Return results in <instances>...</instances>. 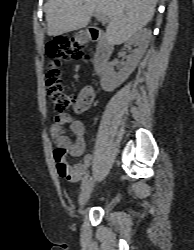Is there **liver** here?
Returning a JSON list of instances; mask_svg holds the SVG:
<instances>
[{"label":"liver","mask_w":194,"mask_h":250,"mask_svg":"<svg viewBox=\"0 0 194 250\" xmlns=\"http://www.w3.org/2000/svg\"><path fill=\"white\" fill-rule=\"evenodd\" d=\"M157 0H48L47 34L58 36L86 27L94 13L109 18L105 38L111 45L127 41L154 16Z\"/></svg>","instance_id":"1"}]
</instances>
